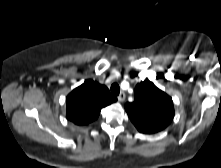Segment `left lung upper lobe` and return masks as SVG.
Listing matches in <instances>:
<instances>
[{
  "label": "left lung upper lobe",
  "mask_w": 221,
  "mask_h": 168,
  "mask_svg": "<svg viewBox=\"0 0 221 168\" xmlns=\"http://www.w3.org/2000/svg\"><path fill=\"white\" fill-rule=\"evenodd\" d=\"M125 109L138 131L145 134L163 130L174 117L171 97L148 79L137 84L135 100L126 103Z\"/></svg>",
  "instance_id": "5c2ea615"
}]
</instances>
